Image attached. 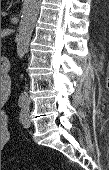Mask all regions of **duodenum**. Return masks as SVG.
<instances>
[{"label": "duodenum", "mask_w": 109, "mask_h": 170, "mask_svg": "<svg viewBox=\"0 0 109 170\" xmlns=\"http://www.w3.org/2000/svg\"><path fill=\"white\" fill-rule=\"evenodd\" d=\"M8 68H9V61L8 59H3L1 62V72H2V81H1V89L3 91L7 90L10 85V80L8 77Z\"/></svg>", "instance_id": "1"}]
</instances>
